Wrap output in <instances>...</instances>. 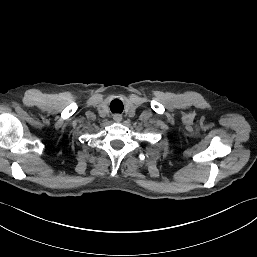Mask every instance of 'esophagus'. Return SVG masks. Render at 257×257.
I'll return each instance as SVG.
<instances>
[{
	"label": "esophagus",
	"instance_id": "1",
	"mask_svg": "<svg viewBox=\"0 0 257 257\" xmlns=\"http://www.w3.org/2000/svg\"><path fill=\"white\" fill-rule=\"evenodd\" d=\"M113 119L115 122H121L122 121V116L120 114H115L113 116Z\"/></svg>",
	"mask_w": 257,
	"mask_h": 257
}]
</instances>
